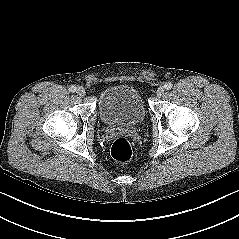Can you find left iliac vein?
<instances>
[{
    "mask_svg": "<svg viewBox=\"0 0 239 239\" xmlns=\"http://www.w3.org/2000/svg\"><path fill=\"white\" fill-rule=\"evenodd\" d=\"M164 92H165V88L163 86H160L156 91V95L158 97H161L164 94Z\"/></svg>",
    "mask_w": 239,
    "mask_h": 239,
    "instance_id": "left-iliac-vein-1",
    "label": "left iliac vein"
}]
</instances>
